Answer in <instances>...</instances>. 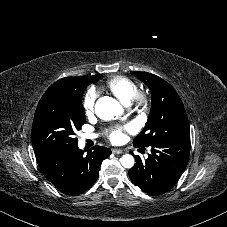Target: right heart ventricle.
Instances as JSON below:
<instances>
[{"label": "right heart ventricle", "instance_id": "right-heart-ventricle-1", "mask_svg": "<svg viewBox=\"0 0 227 227\" xmlns=\"http://www.w3.org/2000/svg\"><path fill=\"white\" fill-rule=\"evenodd\" d=\"M103 90L114 95L124 105H128L138 91L134 81L125 76H115L109 79Z\"/></svg>", "mask_w": 227, "mask_h": 227}]
</instances>
